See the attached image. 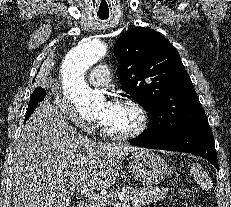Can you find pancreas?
Here are the masks:
<instances>
[{
	"instance_id": "1",
	"label": "pancreas",
	"mask_w": 231,
	"mask_h": 207,
	"mask_svg": "<svg viewBox=\"0 0 231 207\" xmlns=\"http://www.w3.org/2000/svg\"><path fill=\"white\" fill-rule=\"evenodd\" d=\"M119 194H121L125 201L131 204L132 207H142L146 204L165 199L168 195V190L151 186L138 189L131 186H124L111 191L108 196L104 198L103 202H91L87 207H105L115 203L116 200L119 199Z\"/></svg>"
}]
</instances>
